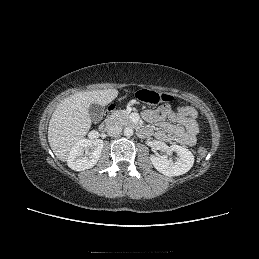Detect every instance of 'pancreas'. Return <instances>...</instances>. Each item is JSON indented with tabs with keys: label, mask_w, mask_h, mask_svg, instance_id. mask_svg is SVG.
<instances>
[{
	"label": "pancreas",
	"mask_w": 259,
	"mask_h": 259,
	"mask_svg": "<svg viewBox=\"0 0 259 259\" xmlns=\"http://www.w3.org/2000/svg\"><path fill=\"white\" fill-rule=\"evenodd\" d=\"M110 119L122 126L130 125L132 122L129 114L125 110H116L110 116Z\"/></svg>",
	"instance_id": "obj_1"
}]
</instances>
